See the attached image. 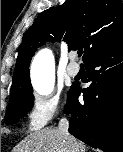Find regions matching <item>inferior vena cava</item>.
<instances>
[{
	"mask_svg": "<svg viewBox=\"0 0 123 152\" xmlns=\"http://www.w3.org/2000/svg\"><path fill=\"white\" fill-rule=\"evenodd\" d=\"M58 128L59 130L66 136L68 137L69 136V132H68V129H69V122L66 118H61L60 121H59V124H58Z\"/></svg>",
	"mask_w": 123,
	"mask_h": 152,
	"instance_id": "1",
	"label": "inferior vena cava"
}]
</instances>
